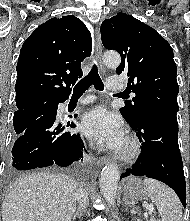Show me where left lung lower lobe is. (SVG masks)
Wrapping results in <instances>:
<instances>
[{"label": "left lung lower lobe", "instance_id": "left-lung-lower-lobe-1", "mask_svg": "<svg viewBox=\"0 0 190 221\" xmlns=\"http://www.w3.org/2000/svg\"><path fill=\"white\" fill-rule=\"evenodd\" d=\"M176 113L170 109L150 108L130 123L141 142V156L120 179L129 175L157 179L170 186L186 207V186L178 145Z\"/></svg>", "mask_w": 190, "mask_h": 221}]
</instances>
